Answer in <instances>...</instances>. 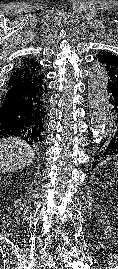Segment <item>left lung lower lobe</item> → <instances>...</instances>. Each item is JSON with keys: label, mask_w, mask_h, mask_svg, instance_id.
<instances>
[{"label": "left lung lower lobe", "mask_w": 118, "mask_h": 269, "mask_svg": "<svg viewBox=\"0 0 118 269\" xmlns=\"http://www.w3.org/2000/svg\"><path fill=\"white\" fill-rule=\"evenodd\" d=\"M107 103H109V109L106 131L100 142L98 155L95 157L96 161L93 163L92 169L99 163L98 160L118 155V95L109 93Z\"/></svg>", "instance_id": "0a47b994"}]
</instances>
